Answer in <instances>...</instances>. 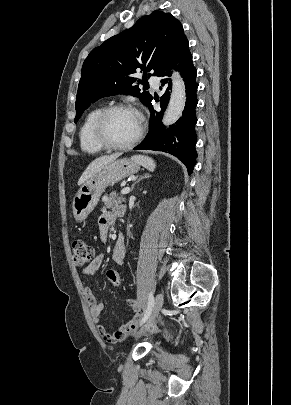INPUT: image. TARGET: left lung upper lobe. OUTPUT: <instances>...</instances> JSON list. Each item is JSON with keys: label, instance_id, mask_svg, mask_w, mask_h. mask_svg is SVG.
Here are the masks:
<instances>
[{"label": "left lung upper lobe", "instance_id": "5c2ea615", "mask_svg": "<svg viewBox=\"0 0 291 405\" xmlns=\"http://www.w3.org/2000/svg\"><path fill=\"white\" fill-rule=\"evenodd\" d=\"M185 37L175 17L154 11L94 48L82 66L75 123L91 103L109 95L132 94L147 106L152 96L135 84H143L151 71L157 76ZM136 69L143 71L142 80L135 77Z\"/></svg>", "mask_w": 291, "mask_h": 405}]
</instances>
